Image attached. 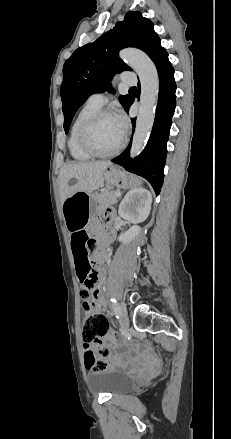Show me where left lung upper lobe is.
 Returning a JSON list of instances; mask_svg holds the SVG:
<instances>
[{
    "label": "left lung upper lobe",
    "mask_w": 231,
    "mask_h": 439,
    "mask_svg": "<svg viewBox=\"0 0 231 439\" xmlns=\"http://www.w3.org/2000/svg\"><path fill=\"white\" fill-rule=\"evenodd\" d=\"M153 26L139 11L128 12L112 30L76 49L66 60L60 89L66 133L76 111L91 94L111 91L112 77L124 70H131L118 57L120 49L128 46L139 48L152 60L164 49ZM130 99V95L119 97L124 108Z\"/></svg>",
    "instance_id": "obj_1"
}]
</instances>
